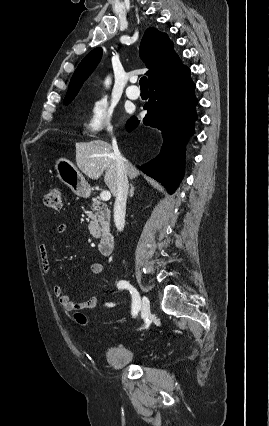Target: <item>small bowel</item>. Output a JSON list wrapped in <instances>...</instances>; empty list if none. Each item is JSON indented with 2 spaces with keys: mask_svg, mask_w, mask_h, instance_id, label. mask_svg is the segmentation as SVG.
<instances>
[{
  "mask_svg": "<svg viewBox=\"0 0 269 426\" xmlns=\"http://www.w3.org/2000/svg\"><path fill=\"white\" fill-rule=\"evenodd\" d=\"M57 233L59 235H66L68 233V227L65 224L57 226ZM38 253L41 261V266L45 274L51 273V264L49 261V253L46 244L42 243L38 247ZM104 272V266L102 263L95 262L89 267V274L93 276L102 275ZM53 293L62 309L66 312H72L77 310H86L96 307L100 303L98 297H92L84 301L72 300L68 294H66L60 285L56 284L53 287Z\"/></svg>",
  "mask_w": 269,
  "mask_h": 426,
  "instance_id": "c3829d8e",
  "label": "small bowel"
}]
</instances>
